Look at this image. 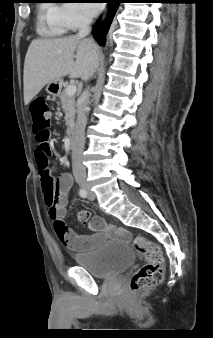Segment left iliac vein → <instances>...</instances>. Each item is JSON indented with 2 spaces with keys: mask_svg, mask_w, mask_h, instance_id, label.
<instances>
[{
  "mask_svg": "<svg viewBox=\"0 0 213 338\" xmlns=\"http://www.w3.org/2000/svg\"><path fill=\"white\" fill-rule=\"evenodd\" d=\"M85 189H86L87 192H88V199H89V200H94V199L96 198L94 192H92V191L90 190V188H89L88 185H85Z\"/></svg>",
  "mask_w": 213,
  "mask_h": 338,
  "instance_id": "4c4485c4",
  "label": "left iliac vein"
}]
</instances>
